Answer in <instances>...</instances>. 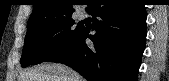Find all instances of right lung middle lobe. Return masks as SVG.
<instances>
[{"label": "right lung middle lobe", "instance_id": "1", "mask_svg": "<svg viewBox=\"0 0 169 81\" xmlns=\"http://www.w3.org/2000/svg\"><path fill=\"white\" fill-rule=\"evenodd\" d=\"M73 24L71 15L28 24L20 60L22 67L46 61L72 41L82 29L81 26L72 29Z\"/></svg>", "mask_w": 169, "mask_h": 81}]
</instances>
